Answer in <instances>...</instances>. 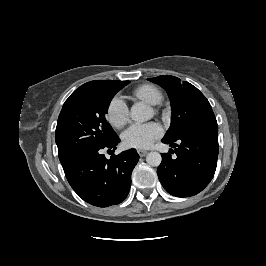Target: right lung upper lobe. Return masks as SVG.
Returning a JSON list of instances; mask_svg holds the SVG:
<instances>
[{
    "mask_svg": "<svg viewBox=\"0 0 266 266\" xmlns=\"http://www.w3.org/2000/svg\"><path fill=\"white\" fill-rule=\"evenodd\" d=\"M101 80H96V81H91V82H87L85 84H83L82 86H80L78 89H76L74 92H79V91H83L97 83H99Z\"/></svg>",
    "mask_w": 266,
    "mask_h": 266,
    "instance_id": "cb5924a9",
    "label": "right lung upper lobe"
}]
</instances>
